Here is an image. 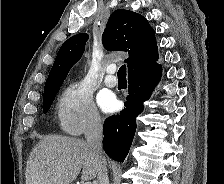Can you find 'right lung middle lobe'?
Here are the masks:
<instances>
[{
    "label": "right lung middle lobe",
    "mask_w": 224,
    "mask_h": 184,
    "mask_svg": "<svg viewBox=\"0 0 224 184\" xmlns=\"http://www.w3.org/2000/svg\"><path fill=\"white\" fill-rule=\"evenodd\" d=\"M57 92L58 90L44 94V97H43V112L44 113H46L50 109L51 104Z\"/></svg>",
    "instance_id": "obj_1"
}]
</instances>
